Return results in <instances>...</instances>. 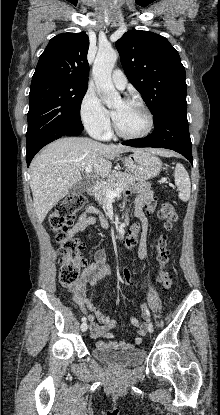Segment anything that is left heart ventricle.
Instances as JSON below:
<instances>
[{
  "label": "left heart ventricle",
  "instance_id": "1",
  "mask_svg": "<svg viewBox=\"0 0 220 415\" xmlns=\"http://www.w3.org/2000/svg\"><path fill=\"white\" fill-rule=\"evenodd\" d=\"M112 110L118 127L127 134L142 133L148 126L147 115L139 106L119 101Z\"/></svg>",
  "mask_w": 220,
  "mask_h": 415
}]
</instances>
